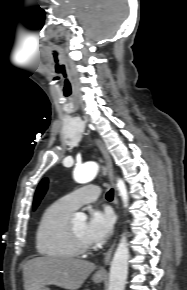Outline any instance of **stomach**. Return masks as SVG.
<instances>
[{
	"instance_id": "stomach-1",
	"label": "stomach",
	"mask_w": 187,
	"mask_h": 290,
	"mask_svg": "<svg viewBox=\"0 0 187 290\" xmlns=\"http://www.w3.org/2000/svg\"><path fill=\"white\" fill-rule=\"evenodd\" d=\"M92 280L95 283H100V282H102L104 280V276H101V275H98V274H94L93 277H92ZM40 290H49V289L47 287H43Z\"/></svg>"
}]
</instances>
